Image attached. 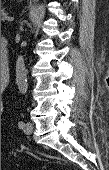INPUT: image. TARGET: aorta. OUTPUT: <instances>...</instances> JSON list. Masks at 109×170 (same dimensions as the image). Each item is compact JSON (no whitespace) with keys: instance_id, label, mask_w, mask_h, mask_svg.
<instances>
[{"instance_id":"762f6f07","label":"aorta","mask_w":109,"mask_h":170,"mask_svg":"<svg viewBox=\"0 0 109 170\" xmlns=\"http://www.w3.org/2000/svg\"><path fill=\"white\" fill-rule=\"evenodd\" d=\"M33 2H38V0H33ZM16 83L18 85L19 91L21 94L27 92V72L25 68L24 58L22 55H19L16 61Z\"/></svg>"}]
</instances>
